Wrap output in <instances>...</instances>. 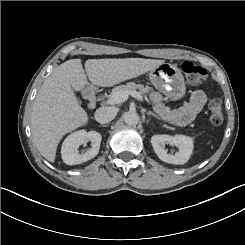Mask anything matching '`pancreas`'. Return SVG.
I'll return each mask as SVG.
<instances>
[{
	"label": "pancreas",
	"instance_id": "1",
	"mask_svg": "<svg viewBox=\"0 0 245 245\" xmlns=\"http://www.w3.org/2000/svg\"><path fill=\"white\" fill-rule=\"evenodd\" d=\"M138 89L139 93L146 94V91L150 89L149 87H144L142 84H135L133 82H127L126 84H120L118 86L113 87L108 91L106 95L107 98H111L115 92L118 91H131Z\"/></svg>",
	"mask_w": 245,
	"mask_h": 245
}]
</instances>
